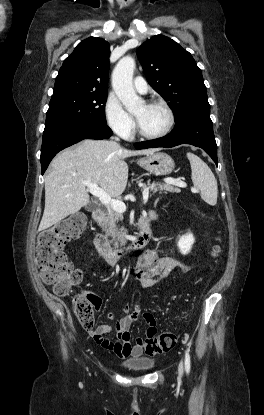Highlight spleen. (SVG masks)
Masks as SVG:
<instances>
[{
	"instance_id": "1",
	"label": "spleen",
	"mask_w": 264,
	"mask_h": 415,
	"mask_svg": "<svg viewBox=\"0 0 264 415\" xmlns=\"http://www.w3.org/2000/svg\"><path fill=\"white\" fill-rule=\"evenodd\" d=\"M187 158L191 165V179L201 198L209 205H216L218 186L217 180L208 165L197 155L188 152Z\"/></svg>"
}]
</instances>
